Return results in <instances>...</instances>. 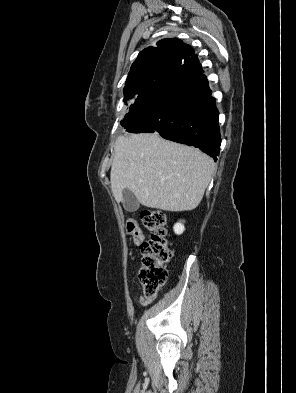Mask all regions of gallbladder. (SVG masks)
Masks as SVG:
<instances>
[{"instance_id": "bac80fb5", "label": "gallbladder", "mask_w": 296, "mask_h": 393, "mask_svg": "<svg viewBox=\"0 0 296 393\" xmlns=\"http://www.w3.org/2000/svg\"><path fill=\"white\" fill-rule=\"evenodd\" d=\"M123 206L129 212H134L139 208V201L134 193L128 189L123 190Z\"/></svg>"}]
</instances>
